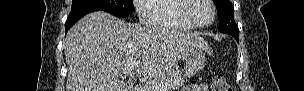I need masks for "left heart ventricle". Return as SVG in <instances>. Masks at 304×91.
Listing matches in <instances>:
<instances>
[{
	"label": "left heart ventricle",
	"mask_w": 304,
	"mask_h": 91,
	"mask_svg": "<svg viewBox=\"0 0 304 91\" xmlns=\"http://www.w3.org/2000/svg\"><path fill=\"white\" fill-rule=\"evenodd\" d=\"M192 16L198 23L207 24L212 20V8L205 0H197Z\"/></svg>",
	"instance_id": "left-heart-ventricle-1"
}]
</instances>
